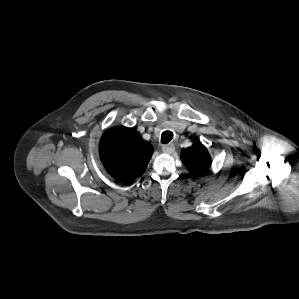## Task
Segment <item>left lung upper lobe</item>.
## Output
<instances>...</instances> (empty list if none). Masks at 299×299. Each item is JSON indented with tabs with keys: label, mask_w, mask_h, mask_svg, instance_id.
I'll return each mask as SVG.
<instances>
[{
	"label": "left lung upper lobe",
	"mask_w": 299,
	"mask_h": 299,
	"mask_svg": "<svg viewBox=\"0 0 299 299\" xmlns=\"http://www.w3.org/2000/svg\"><path fill=\"white\" fill-rule=\"evenodd\" d=\"M181 160L193 175L205 173L211 165V157L200 141L194 142L191 147L183 150Z\"/></svg>",
	"instance_id": "1"
}]
</instances>
